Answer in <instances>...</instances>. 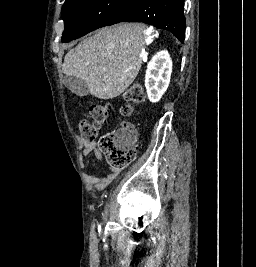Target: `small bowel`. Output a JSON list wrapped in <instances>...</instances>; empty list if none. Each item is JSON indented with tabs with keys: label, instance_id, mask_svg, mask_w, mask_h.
Listing matches in <instances>:
<instances>
[{
	"label": "small bowel",
	"instance_id": "1",
	"mask_svg": "<svg viewBox=\"0 0 256 267\" xmlns=\"http://www.w3.org/2000/svg\"><path fill=\"white\" fill-rule=\"evenodd\" d=\"M80 145L83 148L82 156L86 157L93 153L98 161H102V152L96 141L93 139L80 138ZM118 170L110 168V171L105 176H96L91 171L85 174V182L89 187H93L98 191L104 190L117 177Z\"/></svg>",
	"mask_w": 256,
	"mask_h": 267
}]
</instances>
